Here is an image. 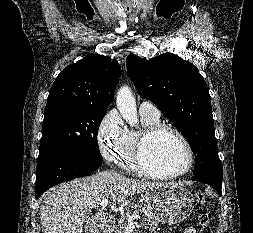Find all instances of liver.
<instances>
[{
    "instance_id": "6515ba94",
    "label": "liver",
    "mask_w": 253,
    "mask_h": 233,
    "mask_svg": "<svg viewBox=\"0 0 253 233\" xmlns=\"http://www.w3.org/2000/svg\"><path fill=\"white\" fill-rule=\"evenodd\" d=\"M166 184L126 178L114 171L98 172L49 190L40 206L42 233H82L86 214L102 200L121 203L128 195Z\"/></svg>"
}]
</instances>
